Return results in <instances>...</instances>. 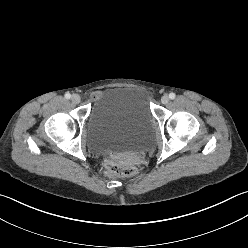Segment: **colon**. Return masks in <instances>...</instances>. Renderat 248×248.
Segmentation results:
<instances>
[{"mask_svg": "<svg viewBox=\"0 0 248 248\" xmlns=\"http://www.w3.org/2000/svg\"><path fill=\"white\" fill-rule=\"evenodd\" d=\"M104 172L108 176L112 177H129L136 173L134 167L123 165L114 160L107 159L104 162Z\"/></svg>", "mask_w": 248, "mask_h": 248, "instance_id": "5ec220e1", "label": "colon"}]
</instances>
